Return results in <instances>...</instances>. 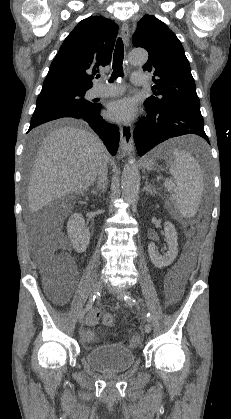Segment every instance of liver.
<instances>
[{
  "label": "liver",
  "instance_id": "liver-1",
  "mask_svg": "<svg viewBox=\"0 0 231 419\" xmlns=\"http://www.w3.org/2000/svg\"><path fill=\"white\" fill-rule=\"evenodd\" d=\"M44 130L49 134L37 152L28 185L31 212L87 190L95 182L99 168L110 161L106 147L92 132L60 121L33 130L31 137Z\"/></svg>",
  "mask_w": 231,
  "mask_h": 419
}]
</instances>
